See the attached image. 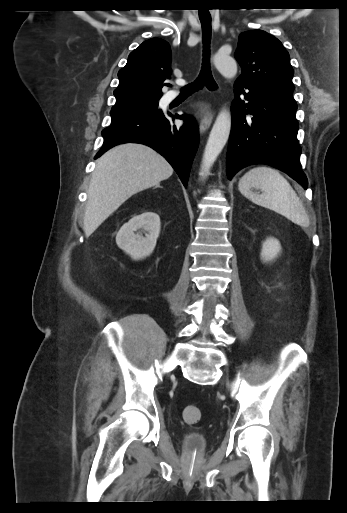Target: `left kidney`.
<instances>
[{
    "instance_id": "obj_1",
    "label": "left kidney",
    "mask_w": 347,
    "mask_h": 513,
    "mask_svg": "<svg viewBox=\"0 0 347 513\" xmlns=\"http://www.w3.org/2000/svg\"><path fill=\"white\" fill-rule=\"evenodd\" d=\"M281 244L279 240L274 237L267 238L262 243L261 258L264 262L274 260L281 252Z\"/></svg>"
}]
</instances>
